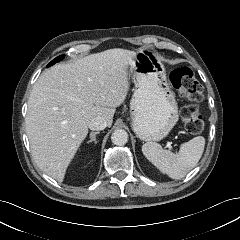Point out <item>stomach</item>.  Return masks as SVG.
Masks as SVG:
<instances>
[{"instance_id":"0dacf381","label":"stomach","mask_w":240,"mask_h":240,"mask_svg":"<svg viewBox=\"0 0 240 240\" xmlns=\"http://www.w3.org/2000/svg\"><path fill=\"white\" fill-rule=\"evenodd\" d=\"M130 73L135 85L130 102L132 129L143 141H160L179 118L161 56L152 50L136 52Z\"/></svg>"}]
</instances>
